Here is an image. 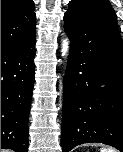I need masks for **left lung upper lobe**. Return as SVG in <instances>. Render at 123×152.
Wrapping results in <instances>:
<instances>
[{
	"label": "left lung upper lobe",
	"mask_w": 123,
	"mask_h": 152,
	"mask_svg": "<svg viewBox=\"0 0 123 152\" xmlns=\"http://www.w3.org/2000/svg\"><path fill=\"white\" fill-rule=\"evenodd\" d=\"M76 8H83L118 29L116 15L108 0H72L69 3L68 10H74Z\"/></svg>",
	"instance_id": "left-lung-upper-lobe-1"
}]
</instances>
